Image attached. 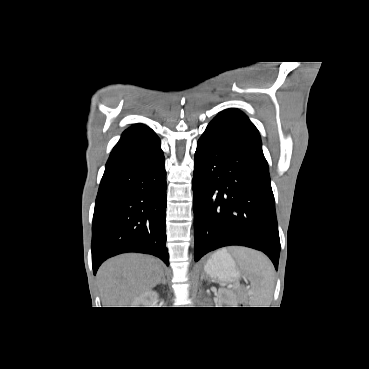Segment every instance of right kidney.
Returning <instances> with one entry per match:
<instances>
[{
    "mask_svg": "<svg viewBox=\"0 0 369 369\" xmlns=\"http://www.w3.org/2000/svg\"><path fill=\"white\" fill-rule=\"evenodd\" d=\"M158 299V294L154 291H147L138 296L133 302V307H150L152 302Z\"/></svg>",
    "mask_w": 369,
    "mask_h": 369,
    "instance_id": "right-kidney-1",
    "label": "right kidney"
}]
</instances>
